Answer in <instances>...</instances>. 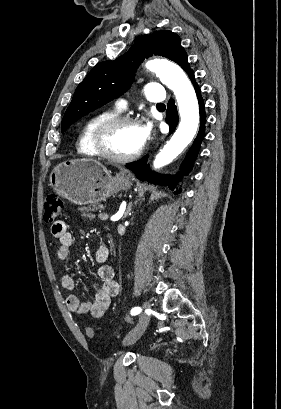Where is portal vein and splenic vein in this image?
<instances>
[{
	"mask_svg": "<svg viewBox=\"0 0 281 409\" xmlns=\"http://www.w3.org/2000/svg\"><path fill=\"white\" fill-rule=\"evenodd\" d=\"M106 219H108V217H107L105 212L99 213V220L100 221H105Z\"/></svg>",
	"mask_w": 281,
	"mask_h": 409,
	"instance_id": "1",
	"label": "portal vein and splenic vein"
}]
</instances>
